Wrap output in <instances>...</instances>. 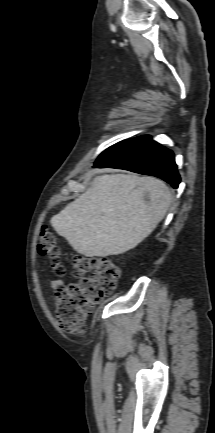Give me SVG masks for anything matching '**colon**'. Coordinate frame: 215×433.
Masks as SVG:
<instances>
[{
	"mask_svg": "<svg viewBox=\"0 0 215 433\" xmlns=\"http://www.w3.org/2000/svg\"><path fill=\"white\" fill-rule=\"evenodd\" d=\"M38 252L49 260L56 274L65 273L56 236L45 225L40 229ZM72 273L80 278L78 283L54 290L56 320L66 332L83 329L95 306L113 292L120 277L119 267L106 257L75 256Z\"/></svg>",
	"mask_w": 215,
	"mask_h": 433,
	"instance_id": "5ec220e1",
	"label": "colon"
}]
</instances>
